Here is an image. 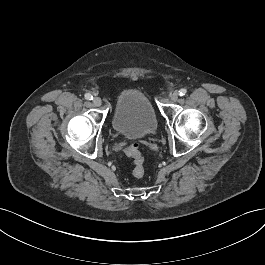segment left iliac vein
<instances>
[{
    "instance_id": "4c4485c4",
    "label": "left iliac vein",
    "mask_w": 265,
    "mask_h": 265,
    "mask_svg": "<svg viewBox=\"0 0 265 265\" xmlns=\"http://www.w3.org/2000/svg\"><path fill=\"white\" fill-rule=\"evenodd\" d=\"M169 97L172 101H176L179 97V93L178 91H172L170 94H169Z\"/></svg>"
}]
</instances>
